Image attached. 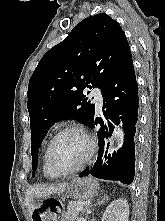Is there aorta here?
Listing matches in <instances>:
<instances>
[{
  "label": "aorta",
  "mask_w": 165,
  "mask_h": 221,
  "mask_svg": "<svg viewBox=\"0 0 165 221\" xmlns=\"http://www.w3.org/2000/svg\"><path fill=\"white\" fill-rule=\"evenodd\" d=\"M122 139H123V136H122V135H120V136H119V138H118L119 144H121V143H122Z\"/></svg>",
  "instance_id": "1"
}]
</instances>
